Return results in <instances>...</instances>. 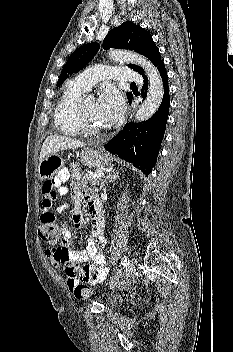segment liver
<instances>
[{
    "instance_id": "obj_1",
    "label": "liver",
    "mask_w": 233,
    "mask_h": 352,
    "mask_svg": "<svg viewBox=\"0 0 233 352\" xmlns=\"http://www.w3.org/2000/svg\"><path fill=\"white\" fill-rule=\"evenodd\" d=\"M85 145V143L75 139L59 135H50L46 138L42 145L39 160L42 161L49 155L56 154L59 151L77 149L84 147Z\"/></svg>"
}]
</instances>
